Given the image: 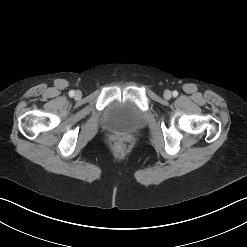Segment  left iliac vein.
<instances>
[{"label": "left iliac vein", "mask_w": 247, "mask_h": 247, "mask_svg": "<svg viewBox=\"0 0 247 247\" xmlns=\"http://www.w3.org/2000/svg\"><path fill=\"white\" fill-rule=\"evenodd\" d=\"M171 96H172L171 91H169V90H165V91H164V98H165V99H170Z\"/></svg>", "instance_id": "1"}]
</instances>
